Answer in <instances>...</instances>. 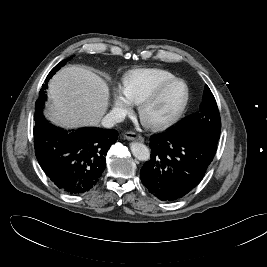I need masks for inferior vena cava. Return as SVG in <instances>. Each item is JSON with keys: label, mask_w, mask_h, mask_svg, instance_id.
Here are the masks:
<instances>
[{"label": "inferior vena cava", "mask_w": 267, "mask_h": 267, "mask_svg": "<svg viewBox=\"0 0 267 267\" xmlns=\"http://www.w3.org/2000/svg\"><path fill=\"white\" fill-rule=\"evenodd\" d=\"M125 116L120 111H111L102 119V125L106 128L113 127L116 123L122 122Z\"/></svg>", "instance_id": "602c4592"}]
</instances>
